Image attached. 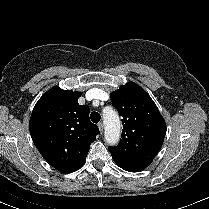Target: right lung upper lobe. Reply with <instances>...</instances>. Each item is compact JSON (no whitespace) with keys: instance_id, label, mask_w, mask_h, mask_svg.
<instances>
[{"instance_id":"1","label":"right lung upper lobe","mask_w":209,"mask_h":209,"mask_svg":"<svg viewBox=\"0 0 209 209\" xmlns=\"http://www.w3.org/2000/svg\"><path fill=\"white\" fill-rule=\"evenodd\" d=\"M80 92L53 87L36 103L29 126L32 140L54 168L71 173L86 161L90 144L99 133L89 119L90 109L79 105Z\"/></svg>"}]
</instances>
